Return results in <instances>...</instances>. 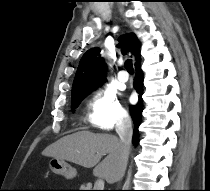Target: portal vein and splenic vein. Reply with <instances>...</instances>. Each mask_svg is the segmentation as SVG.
Listing matches in <instances>:
<instances>
[{
    "label": "portal vein and splenic vein",
    "mask_w": 210,
    "mask_h": 191,
    "mask_svg": "<svg viewBox=\"0 0 210 191\" xmlns=\"http://www.w3.org/2000/svg\"><path fill=\"white\" fill-rule=\"evenodd\" d=\"M103 188H104L103 179H101V178L97 179V181L95 182V185H94V189L95 190H103Z\"/></svg>",
    "instance_id": "1"
}]
</instances>
